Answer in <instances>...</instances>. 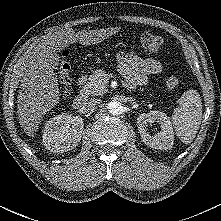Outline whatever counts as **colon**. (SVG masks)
I'll return each instance as SVG.
<instances>
[{
	"label": "colon",
	"instance_id": "colon-1",
	"mask_svg": "<svg viewBox=\"0 0 221 221\" xmlns=\"http://www.w3.org/2000/svg\"><path fill=\"white\" fill-rule=\"evenodd\" d=\"M137 42L143 51L147 53H156L163 46V39L153 33H142L137 37ZM69 50L63 49L59 57V80L63 94L67 95L70 90ZM180 77L175 73H168L164 76V85L167 90L174 91L180 85Z\"/></svg>",
	"mask_w": 221,
	"mask_h": 221
}]
</instances>
